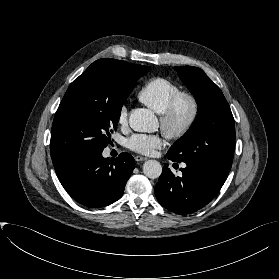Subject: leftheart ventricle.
<instances>
[{
	"mask_svg": "<svg viewBox=\"0 0 279 279\" xmlns=\"http://www.w3.org/2000/svg\"><path fill=\"white\" fill-rule=\"evenodd\" d=\"M189 111V104L186 101H181L177 108L176 121L182 123L187 118Z\"/></svg>",
	"mask_w": 279,
	"mask_h": 279,
	"instance_id": "left-heart-ventricle-1",
	"label": "left heart ventricle"
}]
</instances>
